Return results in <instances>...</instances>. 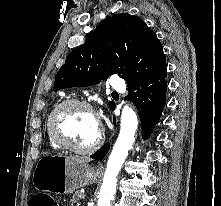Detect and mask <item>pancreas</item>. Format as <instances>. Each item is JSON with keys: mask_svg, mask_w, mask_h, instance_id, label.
Returning a JSON list of instances; mask_svg holds the SVG:
<instances>
[{"mask_svg": "<svg viewBox=\"0 0 221 206\" xmlns=\"http://www.w3.org/2000/svg\"><path fill=\"white\" fill-rule=\"evenodd\" d=\"M82 194L80 192H75V194L73 195L72 199H71V203H72V206H75V204H77V206L80 205V196Z\"/></svg>", "mask_w": 221, "mask_h": 206, "instance_id": "obj_1", "label": "pancreas"}]
</instances>
